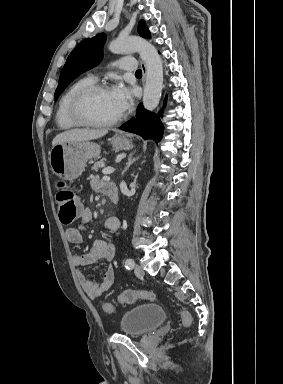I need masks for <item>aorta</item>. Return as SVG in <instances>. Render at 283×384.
<instances>
[{
	"mask_svg": "<svg viewBox=\"0 0 283 384\" xmlns=\"http://www.w3.org/2000/svg\"><path fill=\"white\" fill-rule=\"evenodd\" d=\"M109 50L115 54L139 53L146 65L143 105L150 111L154 110L159 104L163 89V63L156 48L143 38L131 36L112 41Z\"/></svg>",
	"mask_w": 283,
	"mask_h": 384,
	"instance_id": "1",
	"label": "aorta"
}]
</instances>
